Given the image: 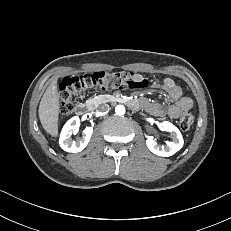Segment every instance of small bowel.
Instances as JSON below:
<instances>
[{"instance_id": "c3829d8e", "label": "small bowel", "mask_w": 231, "mask_h": 231, "mask_svg": "<svg viewBox=\"0 0 231 231\" xmlns=\"http://www.w3.org/2000/svg\"><path fill=\"white\" fill-rule=\"evenodd\" d=\"M135 79L141 81L145 79L140 74H135ZM155 89L164 91L171 104L166 106L159 103H151L142 98L134 101L136 107H141L148 114L156 117H165L176 119L183 111H188L193 106L191 98L184 96L181 87L170 78H164L153 86Z\"/></svg>"}]
</instances>
